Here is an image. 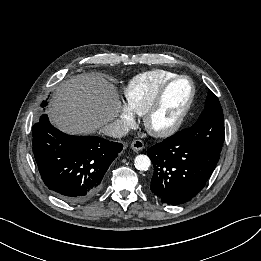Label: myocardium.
Returning <instances> with one entry per match:
<instances>
[{
  "label": "myocardium",
  "mask_w": 261,
  "mask_h": 261,
  "mask_svg": "<svg viewBox=\"0 0 261 261\" xmlns=\"http://www.w3.org/2000/svg\"><path fill=\"white\" fill-rule=\"evenodd\" d=\"M181 79H187L190 82L191 85V94L189 97V100L185 106V108L183 109V111L181 112L180 116L178 117V119L169 127L167 128H163V129H157L152 125V121L154 116L157 114V112L160 110L163 101L168 93V91L170 90V88L179 80ZM195 85L194 82L192 80V78L188 75H176L175 77H173L172 79H170L168 82H166L162 88L159 90V92L157 93L156 97L154 98L153 102L151 103L150 107L148 108V110L145 112L144 117H143V122H144V127L147 130L148 133H150L151 135L155 136V137H168L173 135L174 133H176L181 126L183 125L185 119L187 118L194 99H195Z\"/></svg>",
  "instance_id": "myocardium-1"
}]
</instances>
